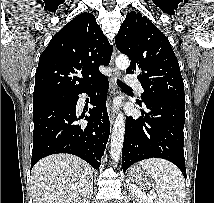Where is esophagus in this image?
I'll return each mask as SVG.
<instances>
[{"label":"esophagus","instance_id":"34e87169","mask_svg":"<svg viewBox=\"0 0 214 203\" xmlns=\"http://www.w3.org/2000/svg\"><path fill=\"white\" fill-rule=\"evenodd\" d=\"M115 57H116V48L114 47L113 55L110 62L111 69H112L111 87H112L113 94H115L116 88H117L116 81L120 77V72L118 71V69L115 67V64H114ZM109 119H110V125L112 126L115 119V110L112 106L109 107Z\"/></svg>","mask_w":214,"mask_h":203}]
</instances>
